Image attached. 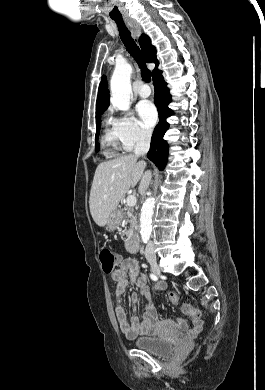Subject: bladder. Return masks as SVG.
<instances>
[{
	"mask_svg": "<svg viewBox=\"0 0 265 390\" xmlns=\"http://www.w3.org/2000/svg\"><path fill=\"white\" fill-rule=\"evenodd\" d=\"M133 345L139 350L156 355L171 353L174 348L171 342L152 335L135 338Z\"/></svg>",
	"mask_w": 265,
	"mask_h": 390,
	"instance_id": "1",
	"label": "bladder"
}]
</instances>
